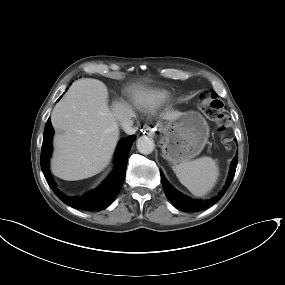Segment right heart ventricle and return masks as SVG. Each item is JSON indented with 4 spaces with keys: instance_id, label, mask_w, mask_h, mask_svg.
<instances>
[{
    "instance_id": "1",
    "label": "right heart ventricle",
    "mask_w": 285,
    "mask_h": 285,
    "mask_svg": "<svg viewBox=\"0 0 285 285\" xmlns=\"http://www.w3.org/2000/svg\"><path fill=\"white\" fill-rule=\"evenodd\" d=\"M168 98V94L161 90H151L143 93L137 99V104L145 110H154L162 105Z\"/></svg>"
}]
</instances>
